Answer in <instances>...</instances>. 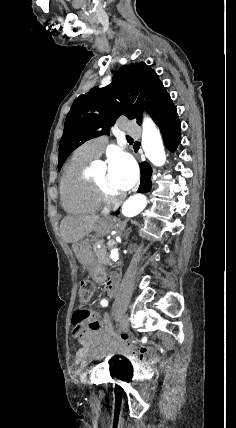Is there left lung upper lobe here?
I'll list each match as a JSON object with an SVG mask.
<instances>
[{"label": "left lung upper lobe", "mask_w": 236, "mask_h": 428, "mask_svg": "<svg viewBox=\"0 0 236 428\" xmlns=\"http://www.w3.org/2000/svg\"><path fill=\"white\" fill-rule=\"evenodd\" d=\"M171 102L155 71L144 62L121 67L107 87H95L74 101L59 142L58 169L77 147L108 133L119 116L140 125L142 109L154 118Z\"/></svg>", "instance_id": "left-lung-upper-lobe-1"}]
</instances>
